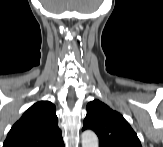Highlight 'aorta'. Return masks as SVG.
<instances>
[{
	"label": "aorta",
	"instance_id": "762f6f07",
	"mask_svg": "<svg viewBox=\"0 0 163 147\" xmlns=\"http://www.w3.org/2000/svg\"><path fill=\"white\" fill-rule=\"evenodd\" d=\"M82 147H98V137L90 130H86L82 133Z\"/></svg>",
	"mask_w": 163,
	"mask_h": 147
}]
</instances>
